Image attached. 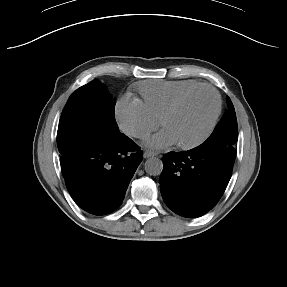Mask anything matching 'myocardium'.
I'll list each match as a JSON object with an SVG mask.
<instances>
[{"label": "myocardium", "mask_w": 287, "mask_h": 287, "mask_svg": "<svg viewBox=\"0 0 287 287\" xmlns=\"http://www.w3.org/2000/svg\"><path fill=\"white\" fill-rule=\"evenodd\" d=\"M201 90H207L213 94L214 99H215L214 113L212 115V118L209 122L208 127L206 128L205 132L199 138H197L191 142H188V143H177V146L183 150H190V149H193V148L200 146L210 137V135L214 131V128H215V126L218 122L219 116L221 114V108H222V101H221V97H220V94L218 93V91L215 88H213L212 86L207 85V84H200L198 86H195V87L187 90L180 97H178L173 102V104L168 108V110L164 113V115L161 118V125L164 127L165 122L180 109V107L183 105V103L191 95H193L194 93L201 91Z\"/></svg>", "instance_id": "f54148a6"}]
</instances>
